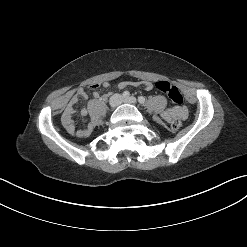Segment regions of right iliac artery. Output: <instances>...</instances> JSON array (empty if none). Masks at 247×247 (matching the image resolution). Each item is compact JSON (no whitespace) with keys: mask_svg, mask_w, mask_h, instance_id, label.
I'll list each match as a JSON object with an SVG mask.
<instances>
[{"mask_svg":"<svg viewBox=\"0 0 247 247\" xmlns=\"http://www.w3.org/2000/svg\"><path fill=\"white\" fill-rule=\"evenodd\" d=\"M123 98H128L130 96V93L128 91H124L122 93Z\"/></svg>","mask_w":247,"mask_h":247,"instance_id":"82829eb1","label":"right iliac artery"}]
</instances>
